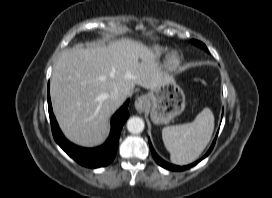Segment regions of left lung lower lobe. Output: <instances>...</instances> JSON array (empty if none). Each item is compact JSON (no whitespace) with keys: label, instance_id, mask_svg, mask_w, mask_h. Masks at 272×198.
<instances>
[{"label":"left lung lower lobe","instance_id":"0a47b994","mask_svg":"<svg viewBox=\"0 0 272 198\" xmlns=\"http://www.w3.org/2000/svg\"><path fill=\"white\" fill-rule=\"evenodd\" d=\"M216 138L217 136L215 137L214 141H213V144L211 145L210 149L208 150V152L199 160L201 161L203 158H205L210 152L211 150L213 149L214 147V144H215V141H216ZM149 143H150V140H149ZM150 149H151V152H152V155L155 159V161L160 165L162 166L163 168H166V169H169V170H174V171H183V170H186V169H189L191 167H193L194 165H196L199 161L197 162H194L190 165H187V166H183V167H180V166H175V165H172V164H169L167 162H165L164 160H162L157 154L156 152L154 151L151 143H150Z\"/></svg>","mask_w":272,"mask_h":198}]
</instances>
